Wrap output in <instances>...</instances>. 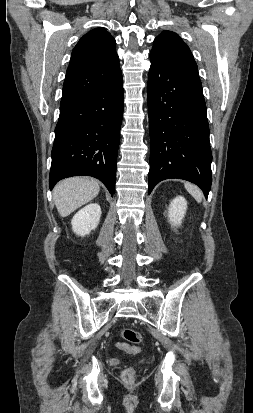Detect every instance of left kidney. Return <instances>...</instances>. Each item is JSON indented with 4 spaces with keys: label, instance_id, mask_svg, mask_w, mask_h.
<instances>
[{
    "label": "left kidney",
    "instance_id": "left-kidney-1",
    "mask_svg": "<svg viewBox=\"0 0 253 413\" xmlns=\"http://www.w3.org/2000/svg\"><path fill=\"white\" fill-rule=\"evenodd\" d=\"M187 201L182 196L174 198L169 207V222L172 226H179L185 216Z\"/></svg>",
    "mask_w": 253,
    "mask_h": 413
}]
</instances>
